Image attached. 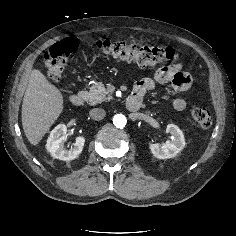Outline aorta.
Here are the masks:
<instances>
[{
	"instance_id": "aorta-1",
	"label": "aorta",
	"mask_w": 236,
	"mask_h": 236,
	"mask_svg": "<svg viewBox=\"0 0 236 236\" xmlns=\"http://www.w3.org/2000/svg\"><path fill=\"white\" fill-rule=\"evenodd\" d=\"M127 123V119L124 115L122 114H117L113 117V124L117 128H124Z\"/></svg>"
}]
</instances>
